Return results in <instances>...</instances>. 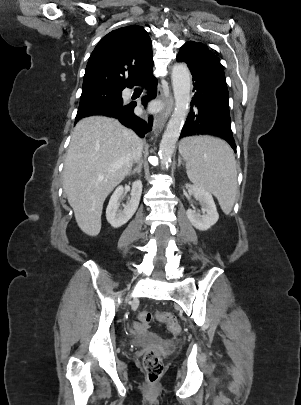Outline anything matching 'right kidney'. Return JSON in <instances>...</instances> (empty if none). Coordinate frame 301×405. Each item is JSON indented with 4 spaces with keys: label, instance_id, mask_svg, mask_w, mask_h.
Returning a JSON list of instances; mask_svg holds the SVG:
<instances>
[{
    "label": "right kidney",
    "instance_id": "obj_1",
    "mask_svg": "<svg viewBox=\"0 0 301 405\" xmlns=\"http://www.w3.org/2000/svg\"><path fill=\"white\" fill-rule=\"evenodd\" d=\"M123 193V186H118L112 194L106 209V219L114 228L127 223L136 212L142 194V182L136 180L132 183L131 199L126 205H123V210H121L120 201Z\"/></svg>",
    "mask_w": 301,
    "mask_h": 405
}]
</instances>
